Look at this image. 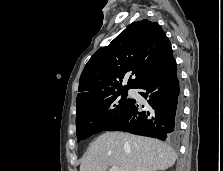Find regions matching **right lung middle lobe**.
Here are the masks:
<instances>
[{
  "mask_svg": "<svg viewBox=\"0 0 223 171\" xmlns=\"http://www.w3.org/2000/svg\"><path fill=\"white\" fill-rule=\"evenodd\" d=\"M127 90L97 99L76 113L77 142L103 131L119 120L129 109L134 99H128Z\"/></svg>",
  "mask_w": 223,
  "mask_h": 171,
  "instance_id": "1",
  "label": "right lung middle lobe"
}]
</instances>
